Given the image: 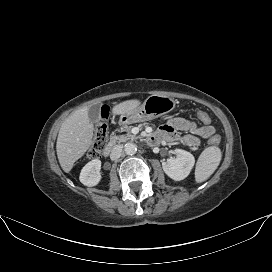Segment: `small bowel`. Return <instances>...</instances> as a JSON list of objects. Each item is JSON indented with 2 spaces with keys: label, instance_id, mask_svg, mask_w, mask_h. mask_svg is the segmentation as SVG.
I'll return each mask as SVG.
<instances>
[{
  "label": "small bowel",
  "instance_id": "small-bowel-1",
  "mask_svg": "<svg viewBox=\"0 0 272 272\" xmlns=\"http://www.w3.org/2000/svg\"><path fill=\"white\" fill-rule=\"evenodd\" d=\"M179 132L186 134L180 135ZM214 128L211 125H197L182 117L169 119L159 130L152 136L154 142L160 140L179 141L183 145L191 148L199 146L200 139H209L214 135Z\"/></svg>",
  "mask_w": 272,
  "mask_h": 272
}]
</instances>
